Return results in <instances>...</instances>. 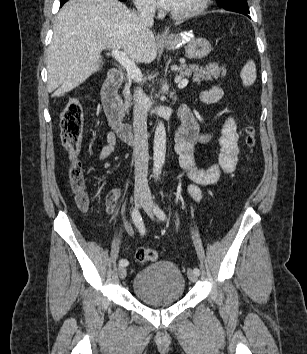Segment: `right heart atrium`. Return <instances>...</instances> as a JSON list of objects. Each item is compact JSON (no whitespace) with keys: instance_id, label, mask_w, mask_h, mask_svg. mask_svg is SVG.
Segmentation results:
<instances>
[{"instance_id":"d8ad5b80","label":"right heart atrium","mask_w":307,"mask_h":354,"mask_svg":"<svg viewBox=\"0 0 307 354\" xmlns=\"http://www.w3.org/2000/svg\"><path fill=\"white\" fill-rule=\"evenodd\" d=\"M134 3L142 12H152L154 10L152 0H134Z\"/></svg>"}]
</instances>
